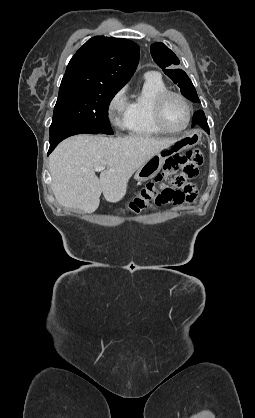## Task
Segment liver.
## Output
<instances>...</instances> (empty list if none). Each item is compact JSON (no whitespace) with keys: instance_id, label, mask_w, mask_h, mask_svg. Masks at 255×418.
<instances>
[{"instance_id":"obj_1","label":"liver","mask_w":255,"mask_h":418,"mask_svg":"<svg viewBox=\"0 0 255 418\" xmlns=\"http://www.w3.org/2000/svg\"><path fill=\"white\" fill-rule=\"evenodd\" d=\"M177 142L176 138L76 135L61 142L50 155L51 188L64 207L94 212L100 195L111 203L126 194L130 177L146 161ZM98 166L107 167L95 174Z\"/></svg>"}]
</instances>
